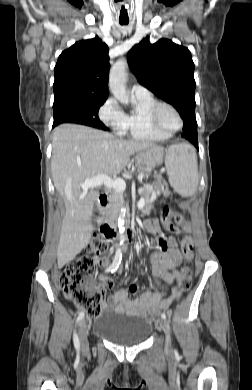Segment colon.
<instances>
[{
  "label": "colon",
  "mask_w": 252,
  "mask_h": 390,
  "mask_svg": "<svg viewBox=\"0 0 252 390\" xmlns=\"http://www.w3.org/2000/svg\"><path fill=\"white\" fill-rule=\"evenodd\" d=\"M162 222L165 228L175 234L180 232L177 225L184 223L183 217L170 208L162 213ZM187 227V225L185 224ZM107 233L95 234L87 243L80 256L66 264L60 273L59 284L67 299L71 300L87 317L96 318L101 314L104 300L103 291L92 284L95 272L96 259L108 250ZM181 250L189 260L193 255V240L185 236L181 241ZM193 271L186 266L181 271L176 298H179L191 287Z\"/></svg>",
  "instance_id": "5ec220e1"
}]
</instances>
